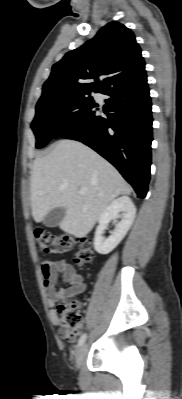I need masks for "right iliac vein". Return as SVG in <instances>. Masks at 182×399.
<instances>
[{"instance_id":"1","label":"right iliac vein","mask_w":182,"mask_h":399,"mask_svg":"<svg viewBox=\"0 0 182 399\" xmlns=\"http://www.w3.org/2000/svg\"><path fill=\"white\" fill-rule=\"evenodd\" d=\"M87 351H88V347L86 344L81 345V347L77 350L76 353V366L78 368L81 367V365L83 364L86 355H87Z\"/></svg>"}]
</instances>
